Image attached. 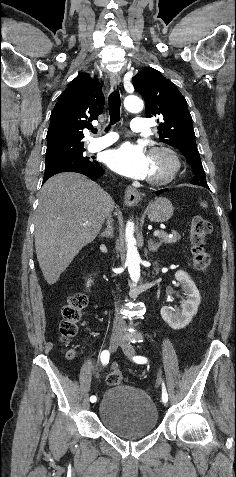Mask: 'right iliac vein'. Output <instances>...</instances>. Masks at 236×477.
<instances>
[{
  "label": "right iliac vein",
  "mask_w": 236,
  "mask_h": 477,
  "mask_svg": "<svg viewBox=\"0 0 236 477\" xmlns=\"http://www.w3.org/2000/svg\"><path fill=\"white\" fill-rule=\"evenodd\" d=\"M121 340H122V335H121V333L115 332V333L112 334V336H111V338H110V345H109L111 352H115V351H116V349L118 348V345H119V343L121 342ZM98 392H99V390L96 391L95 394H96V396H98L97 401L99 402L100 400H99ZM98 402H97V404L92 405V406H93V410H94V408H95V409L98 408V406H99V405H98Z\"/></svg>",
  "instance_id": "right-iliac-vein-1"
}]
</instances>
